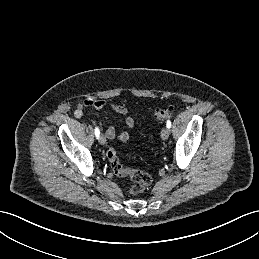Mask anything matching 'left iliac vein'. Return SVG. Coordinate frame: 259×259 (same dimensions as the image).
Masks as SVG:
<instances>
[{
    "label": "left iliac vein",
    "instance_id": "obj_1",
    "mask_svg": "<svg viewBox=\"0 0 259 259\" xmlns=\"http://www.w3.org/2000/svg\"><path fill=\"white\" fill-rule=\"evenodd\" d=\"M168 137H169V129L166 128V127L162 128V130H161V138L163 140H167Z\"/></svg>",
    "mask_w": 259,
    "mask_h": 259
}]
</instances>
